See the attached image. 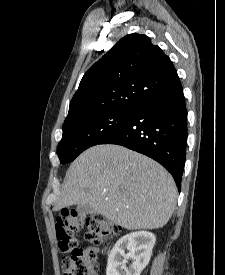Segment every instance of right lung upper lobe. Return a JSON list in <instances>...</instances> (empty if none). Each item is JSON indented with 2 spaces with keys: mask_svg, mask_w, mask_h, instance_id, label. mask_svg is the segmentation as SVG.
<instances>
[{
  "mask_svg": "<svg viewBox=\"0 0 225 275\" xmlns=\"http://www.w3.org/2000/svg\"><path fill=\"white\" fill-rule=\"evenodd\" d=\"M180 85L170 58L149 37L127 35L85 73L64 125L97 113L132 110L143 100Z\"/></svg>",
  "mask_w": 225,
  "mask_h": 275,
  "instance_id": "obj_1",
  "label": "right lung upper lobe"
}]
</instances>
